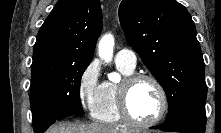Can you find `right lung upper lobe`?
Returning <instances> with one entry per match:
<instances>
[{
	"instance_id": "right-lung-upper-lobe-1",
	"label": "right lung upper lobe",
	"mask_w": 221,
	"mask_h": 133,
	"mask_svg": "<svg viewBox=\"0 0 221 133\" xmlns=\"http://www.w3.org/2000/svg\"><path fill=\"white\" fill-rule=\"evenodd\" d=\"M101 31L99 0H59L38 32L31 73L91 62Z\"/></svg>"
}]
</instances>
